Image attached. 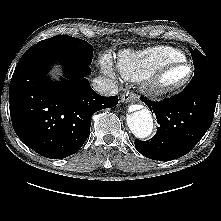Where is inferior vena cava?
I'll return each instance as SVG.
<instances>
[{
	"label": "inferior vena cava",
	"instance_id": "602c4592",
	"mask_svg": "<svg viewBox=\"0 0 221 221\" xmlns=\"http://www.w3.org/2000/svg\"><path fill=\"white\" fill-rule=\"evenodd\" d=\"M92 87L100 95L112 96L118 94V86L116 83L106 77L98 76L94 78Z\"/></svg>",
	"mask_w": 221,
	"mask_h": 221
}]
</instances>
